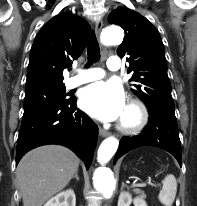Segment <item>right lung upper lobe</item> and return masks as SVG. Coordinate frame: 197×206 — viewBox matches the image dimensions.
Segmentation results:
<instances>
[{"mask_svg": "<svg viewBox=\"0 0 197 206\" xmlns=\"http://www.w3.org/2000/svg\"><path fill=\"white\" fill-rule=\"evenodd\" d=\"M89 31L88 22L75 14L62 13L49 20L33 42L25 89L64 86L63 70L79 58Z\"/></svg>", "mask_w": 197, "mask_h": 206, "instance_id": "cb5924a9", "label": "right lung upper lobe"}]
</instances>
